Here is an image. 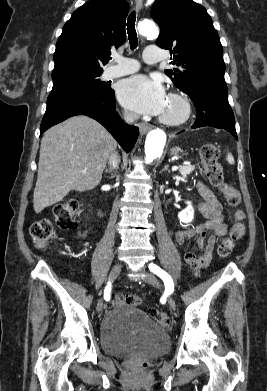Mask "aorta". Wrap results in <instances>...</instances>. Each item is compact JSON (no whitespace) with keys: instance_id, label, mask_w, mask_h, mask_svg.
<instances>
[{"instance_id":"obj_1","label":"aorta","mask_w":267,"mask_h":391,"mask_svg":"<svg viewBox=\"0 0 267 391\" xmlns=\"http://www.w3.org/2000/svg\"><path fill=\"white\" fill-rule=\"evenodd\" d=\"M139 33L147 38H157L159 30L152 21H143L138 25ZM166 143V134L161 129L151 130L145 142V160L147 163L161 156Z\"/></svg>"}]
</instances>
